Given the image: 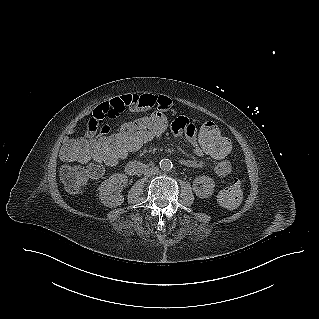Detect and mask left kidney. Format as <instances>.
Wrapping results in <instances>:
<instances>
[{"label":"left kidney","instance_id":"obj_1","mask_svg":"<svg viewBox=\"0 0 319 319\" xmlns=\"http://www.w3.org/2000/svg\"><path fill=\"white\" fill-rule=\"evenodd\" d=\"M202 185V187H198V185ZM194 191L196 195L201 198H209L214 191L215 182L212 178L208 176H198L194 179Z\"/></svg>","mask_w":319,"mask_h":319}]
</instances>
